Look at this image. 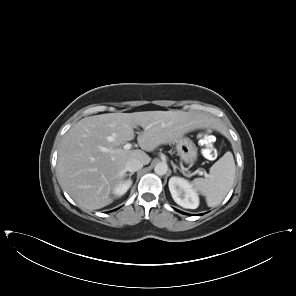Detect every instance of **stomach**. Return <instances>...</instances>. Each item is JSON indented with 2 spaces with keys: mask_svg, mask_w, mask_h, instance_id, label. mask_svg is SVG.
Listing matches in <instances>:
<instances>
[{
  "mask_svg": "<svg viewBox=\"0 0 296 296\" xmlns=\"http://www.w3.org/2000/svg\"><path fill=\"white\" fill-rule=\"evenodd\" d=\"M177 154L180 159L189 165H193L197 160V147L188 137H181L176 142Z\"/></svg>",
  "mask_w": 296,
  "mask_h": 296,
  "instance_id": "1",
  "label": "stomach"
}]
</instances>
